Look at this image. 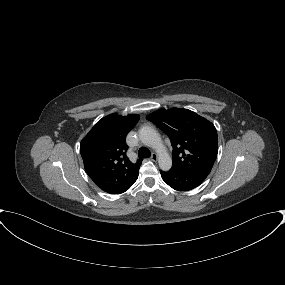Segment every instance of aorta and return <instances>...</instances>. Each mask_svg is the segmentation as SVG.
<instances>
[{
	"label": "aorta",
	"instance_id": "1",
	"mask_svg": "<svg viewBox=\"0 0 285 285\" xmlns=\"http://www.w3.org/2000/svg\"><path fill=\"white\" fill-rule=\"evenodd\" d=\"M139 137L143 144L156 151L160 169L163 171L170 170L172 167V159L167 152L159 133L150 126H143L139 130Z\"/></svg>",
	"mask_w": 285,
	"mask_h": 285
}]
</instances>
